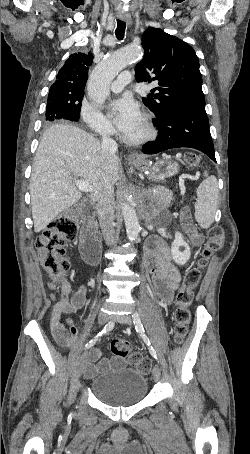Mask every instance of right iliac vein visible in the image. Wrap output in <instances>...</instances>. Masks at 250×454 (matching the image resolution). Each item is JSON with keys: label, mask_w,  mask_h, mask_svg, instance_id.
Instances as JSON below:
<instances>
[{"label": "right iliac vein", "mask_w": 250, "mask_h": 454, "mask_svg": "<svg viewBox=\"0 0 250 454\" xmlns=\"http://www.w3.org/2000/svg\"><path fill=\"white\" fill-rule=\"evenodd\" d=\"M108 319H109V317H108V315H107L106 313L100 312V313L98 314V323H99V324H105V323H107V322H108ZM87 358H88V352L85 351V352H83V353L79 356V358H78V360H77V364H76V374H77V377H78V378L81 377V375H82V373H83V371H84V364H85Z\"/></svg>", "instance_id": "obj_1"}]
</instances>
